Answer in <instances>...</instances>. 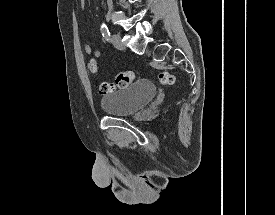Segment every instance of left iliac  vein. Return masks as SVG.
<instances>
[{
  "mask_svg": "<svg viewBox=\"0 0 275 215\" xmlns=\"http://www.w3.org/2000/svg\"><path fill=\"white\" fill-rule=\"evenodd\" d=\"M111 41L113 43V45L119 49V50H124L125 46L121 41V36L119 34H113L111 37Z\"/></svg>",
  "mask_w": 275,
  "mask_h": 215,
  "instance_id": "4c4485c4",
  "label": "left iliac vein"
}]
</instances>
